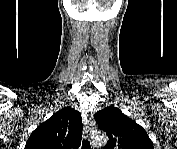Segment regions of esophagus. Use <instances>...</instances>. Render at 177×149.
Returning a JSON list of instances; mask_svg holds the SVG:
<instances>
[{"mask_svg":"<svg viewBox=\"0 0 177 149\" xmlns=\"http://www.w3.org/2000/svg\"><path fill=\"white\" fill-rule=\"evenodd\" d=\"M93 121H92V118L91 117H86L84 120H83V133H84V136L85 138L89 139L91 138V132L93 130Z\"/></svg>","mask_w":177,"mask_h":149,"instance_id":"1","label":"esophagus"}]
</instances>
